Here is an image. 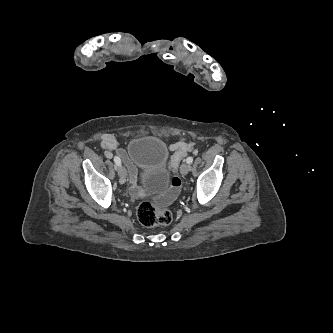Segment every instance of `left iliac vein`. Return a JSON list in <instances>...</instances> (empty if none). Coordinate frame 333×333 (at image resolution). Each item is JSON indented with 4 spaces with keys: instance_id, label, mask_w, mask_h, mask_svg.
<instances>
[{
    "instance_id": "4c4485c4",
    "label": "left iliac vein",
    "mask_w": 333,
    "mask_h": 333,
    "mask_svg": "<svg viewBox=\"0 0 333 333\" xmlns=\"http://www.w3.org/2000/svg\"><path fill=\"white\" fill-rule=\"evenodd\" d=\"M190 165L188 163H184L181 165L180 172L182 175H187L190 171Z\"/></svg>"
}]
</instances>
